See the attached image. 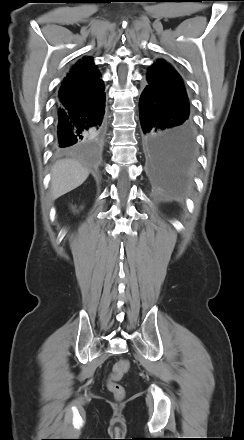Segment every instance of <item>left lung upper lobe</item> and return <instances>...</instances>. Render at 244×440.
Instances as JSON below:
<instances>
[{"mask_svg":"<svg viewBox=\"0 0 244 440\" xmlns=\"http://www.w3.org/2000/svg\"><path fill=\"white\" fill-rule=\"evenodd\" d=\"M148 86L155 89L179 108L189 111L185 87L177 71L164 60H158L148 70Z\"/></svg>","mask_w":244,"mask_h":440,"instance_id":"obj_1","label":"left lung upper lobe"}]
</instances>
